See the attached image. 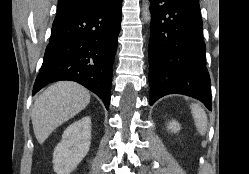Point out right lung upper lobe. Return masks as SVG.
I'll list each match as a JSON object with an SVG mask.
<instances>
[{"instance_id": "obj_1", "label": "right lung upper lobe", "mask_w": 249, "mask_h": 174, "mask_svg": "<svg viewBox=\"0 0 249 174\" xmlns=\"http://www.w3.org/2000/svg\"><path fill=\"white\" fill-rule=\"evenodd\" d=\"M116 0H59L54 21L64 19L75 13L113 3Z\"/></svg>"}]
</instances>
